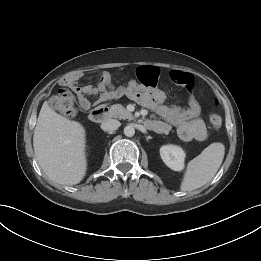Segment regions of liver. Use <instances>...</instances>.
Returning <instances> with one entry per match:
<instances>
[{"mask_svg":"<svg viewBox=\"0 0 261 261\" xmlns=\"http://www.w3.org/2000/svg\"><path fill=\"white\" fill-rule=\"evenodd\" d=\"M36 159L52 181L78 184L87 171L86 132L81 123L52 110L45 101L34 130Z\"/></svg>","mask_w":261,"mask_h":261,"instance_id":"1","label":"liver"}]
</instances>
